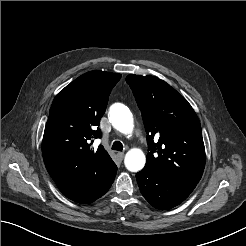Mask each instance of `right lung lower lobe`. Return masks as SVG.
<instances>
[{
  "label": "right lung lower lobe",
  "instance_id": "obj_1",
  "mask_svg": "<svg viewBox=\"0 0 246 246\" xmlns=\"http://www.w3.org/2000/svg\"><path fill=\"white\" fill-rule=\"evenodd\" d=\"M117 167L111 171L90 173L74 181L57 184L59 190L69 199L83 204L92 203L103 196L112 185Z\"/></svg>",
  "mask_w": 246,
  "mask_h": 246
}]
</instances>
